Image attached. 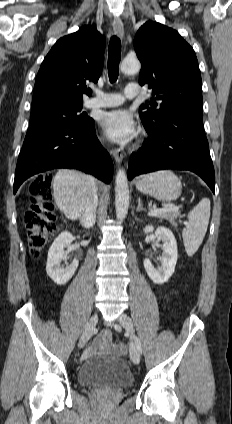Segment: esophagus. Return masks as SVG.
I'll return each instance as SVG.
<instances>
[{
  "label": "esophagus",
  "mask_w": 232,
  "mask_h": 424,
  "mask_svg": "<svg viewBox=\"0 0 232 424\" xmlns=\"http://www.w3.org/2000/svg\"><path fill=\"white\" fill-rule=\"evenodd\" d=\"M113 30L115 34L121 39L124 37V26H123L122 20L119 17H115L113 20ZM112 154L116 162L120 164L123 160L122 152L119 149H114L112 151Z\"/></svg>",
  "instance_id": "34e87169"
}]
</instances>
